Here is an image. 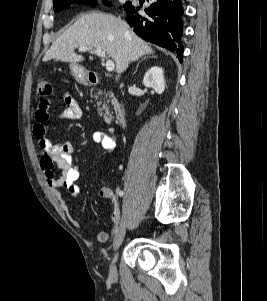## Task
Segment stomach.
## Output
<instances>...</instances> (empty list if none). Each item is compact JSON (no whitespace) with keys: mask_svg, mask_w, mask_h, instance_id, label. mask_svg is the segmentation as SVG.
I'll return each mask as SVG.
<instances>
[{"mask_svg":"<svg viewBox=\"0 0 267 301\" xmlns=\"http://www.w3.org/2000/svg\"><path fill=\"white\" fill-rule=\"evenodd\" d=\"M70 72L78 83H81V84L87 83L88 74H87V71L83 67H81L77 64H70Z\"/></svg>","mask_w":267,"mask_h":301,"instance_id":"0dacf381","label":"stomach"}]
</instances>
